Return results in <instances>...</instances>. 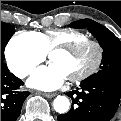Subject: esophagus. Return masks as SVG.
<instances>
[{
    "label": "esophagus",
    "mask_w": 121,
    "mask_h": 121,
    "mask_svg": "<svg viewBox=\"0 0 121 121\" xmlns=\"http://www.w3.org/2000/svg\"><path fill=\"white\" fill-rule=\"evenodd\" d=\"M56 95H57L56 93H43V96L47 98H52V97H55Z\"/></svg>",
    "instance_id": "obj_1"
}]
</instances>
